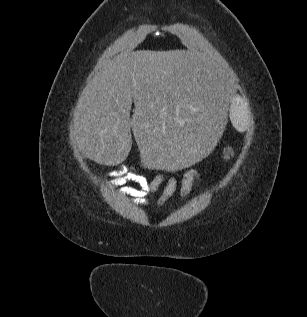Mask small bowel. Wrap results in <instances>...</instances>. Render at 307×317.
<instances>
[{"label": "small bowel", "mask_w": 307, "mask_h": 317, "mask_svg": "<svg viewBox=\"0 0 307 317\" xmlns=\"http://www.w3.org/2000/svg\"><path fill=\"white\" fill-rule=\"evenodd\" d=\"M111 175L112 174H107V176ZM128 178L136 182L141 187V190L138 192V202L144 205L148 204V201L145 197L148 194L156 192L163 182H166V185L161 196L157 200L158 206L163 205L175 193L178 186L177 179L168 170L159 171L154 177V179L149 181L144 176L140 168L134 165H130L128 167ZM199 183L200 176L198 171L195 169H188L184 173L183 178L181 180L179 203L185 201L188 195L190 194L193 185H199Z\"/></svg>", "instance_id": "small-bowel-1"}]
</instances>
